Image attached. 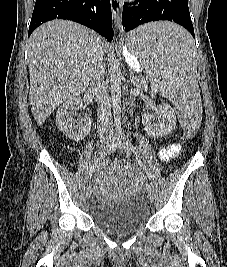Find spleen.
<instances>
[{"label":"spleen","instance_id":"3e777b00","mask_svg":"<svg viewBox=\"0 0 227 267\" xmlns=\"http://www.w3.org/2000/svg\"><path fill=\"white\" fill-rule=\"evenodd\" d=\"M125 47L142 63L144 77L161 81L160 88L168 98L185 104L177 106L180 115H202L198 110L200 93L193 38L181 22L154 19L126 31ZM203 116H187L191 125H198Z\"/></svg>","mask_w":227,"mask_h":267}]
</instances>
